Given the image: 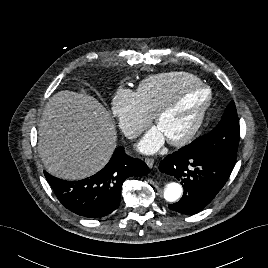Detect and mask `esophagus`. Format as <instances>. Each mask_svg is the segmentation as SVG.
I'll return each instance as SVG.
<instances>
[{
	"label": "esophagus",
	"instance_id": "34e87169",
	"mask_svg": "<svg viewBox=\"0 0 268 268\" xmlns=\"http://www.w3.org/2000/svg\"><path fill=\"white\" fill-rule=\"evenodd\" d=\"M145 163L147 164V166H148L149 168H153L155 161H154V159H152V158H146V159H145Z\"/></svg>",
	"mask_w": 268,
	"mask_h": 268
}]
</instances>
